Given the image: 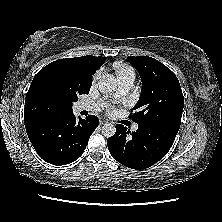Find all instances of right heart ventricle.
I'll list each match as a JSON object with an SVG mask.
<instances>
[{"label": "right heart ventricle", "instance_id": "1", "mask_svg": "<svg viewBox=\"0 0 222 222\" xmlns=\"http://www.w3.org/2000/svg\"><path fill=\"white\" fill-rule=\"evenodd\" d=\"M114 71L118 82L126 79H132L134 81L135 79V71L129 65L118 63L114 66Z\"/></svg>", "mask_w": 222, "mask_h": 222}]
</instances>
